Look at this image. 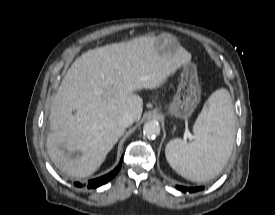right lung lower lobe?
<instances>
[{"label": "right lung lower lobe", "mask_w": 275, "mask_h": 215, "mask_svg": "<svg viewBox=\"0 0 275 215\" xmlns=\"http://www.w3.org/2000/svg\"><path fill=\"white\" fill-rule=\"evenodd\" d=\"M122 159H121L119 165L112 172H110V173H108V174H106L102 177H99V178L88 181L87 187L88 188H97V187L107 183L108 181H110L113 177H115V175L120 170L121 165H122ZM75 185L78 186V187L81 186L80 183H75Z\"/></svg>", "instance_id": "98d812e1"}]
</instances>
